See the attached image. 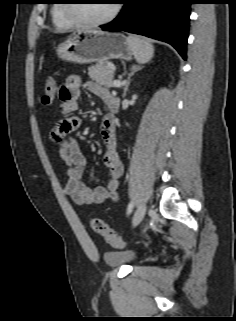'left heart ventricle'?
<instances>
[{
	"label": "left heart ventricle",
	"instance_id": "1",
	"mask_svg": "<svg viewBox=\"0 0 236 321\" xmlns=\"http://www.w3.org/2000/svg\"><path fill=\"white\" fill-rule=\"evenodd\" d=\"M114 3L108 0H86L76 6V14L85 20L96 21L108 16Z\"/></svg>",
	"mask_w": 236,
	"mask_h": 321
}]
</instances>
